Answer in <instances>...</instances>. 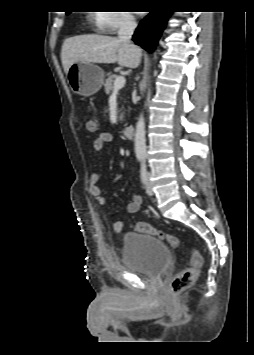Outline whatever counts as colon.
I'll use <instances>...</instances> for the list:
<instances>
[{"label":"colon","instance_id":"obj_1","mask_svg":"<svg viewBox=\"0 0 254 355\" xmlns=\"http://www.w3.org/2000/svg\"><path fill=\"white\" fill-rule=\"evenodd\" d=\"M85 128L88 133L95 134L98 130L96 120L87 119L85 121ZM134 229L143 234L156 236L168 243L172 248L181 246V240L169 233H166L155 226L146 222H136ZM204 260L202 255L195 249H190V266L178 272L173 276L170 282V288L173 292H181L190 288L199 274L200 268L203 266Z\"/></svg>","mask_w":254,"mask_h":355}]
</instances>
